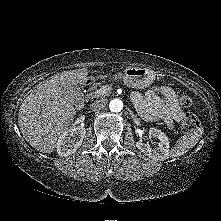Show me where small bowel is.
<instances>
[{"instance_id": "obj_1", "label": "small bowel", "mask_w": 221, "mask_h": 221, "mask_svg": "<svg viewBox=\"0 0 221 221\" xmlns=\"http://www.w3.org/2000/svg\"><path fill=\"white\" fill-rule=\"evenodd\" d=\"M132 100L137 112L144 120H162L169 129H172L174 123L180 122L184 117L178 95L175 89L169 86H158L145 94L135 92Z\"/></svg>"}]
</instances>
